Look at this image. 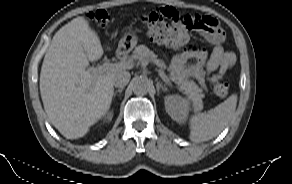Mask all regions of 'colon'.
Instances as JSON below:
<instances>
[{
    "label": "colon",
    "instance_id": "colon-1",
    "mask_svg": "<svg viewBox=\"0 0 292 184\" xmlns=\"http://www.w3.org/2000/svg\"><path fill=\"white\" fill-rule=\"evenodd\" d=\"M90 18L102 27L112 22L110 15L103 10L91 13ZM140 18L153 42L174 49L182 48L188 43L184 29L201 28L207 24L204 16L183 14L172 7L146 12ZM221 79L222 77L217 75L212 77L213 89L218 97L225 98L229 87Z\"/></svg>",
    "mask_w": 292,
    "mask_h": 184
}]
</instances>
